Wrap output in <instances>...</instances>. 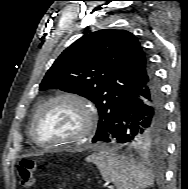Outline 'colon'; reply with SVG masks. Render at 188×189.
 Masks as SVG:
<instances>
[{
	"label": "colon",
	"instance_id": "colon-1",
	"mask_svg": "<svg viewBox=\"0 0 188 189\" xmlns=\"http://www.w3.org/2000/svg\"><path fill=\"white\" fill-rule=\"evenodd\" d=\"M37 170V164L31 159H24L18 166V176L22 187L30 188L34 183V175Z\"/></svg>",
	"mask_w": 188,
	"mask_h": 189
}]
</instances>
